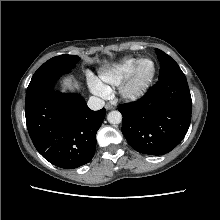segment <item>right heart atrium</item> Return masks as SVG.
Masks as SVG:
<instances>
[{"label":"right heart atrium","instance_id":"1","mask_svg":"<svg viewBox=\"0 0 220 220\" xmlns=\"http://www.w3.org/2000/svg\"><path fill=\"white\" fill-rule=\"evenodd\" d=\"M90 86L92 91L99 96H104L108 92L105 90V88L98 82V80L92 79L90 82Z\"/></svg>","mask_w":220,"mask_h":220}]
</instances>
